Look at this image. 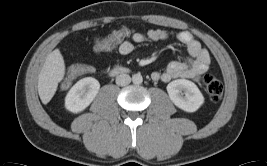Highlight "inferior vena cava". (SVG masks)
<instances>
[{
	"instance_id": "inferior-vena-cava-1",
	"label": "inferior vena cava",
	"mask_w": 267,
	"mask_h": 166,
	"mask_svg": "<svg viewBox=\"0 0 267 166\" xmlns=\"http://www.w3.org/2000/svg\"><path fill=\"white\" fill-rule=\"evenodd\" d=\"M131 82V77L128 74H120L116 77V84L118 86H125Z\"/></svg>"
}]
</instances>
